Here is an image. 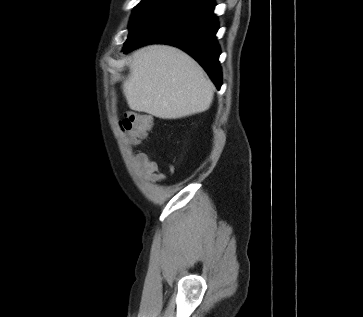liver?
I'll return each mask as SVG.
<instances>
[{"label":"liver","mask_w":363,"mask_h":317,"mask_svg":"<svg viewBox=\"0 0 363 317\" xmlns=\"http://www.w3.org/2000/svg\"><path fill=\"white\" fill-rule=\"evenodd\" d=\"M123 93L130 109L162 119L202 113L211 106L214 87L198 63L167 45H150L132 53Z\"/></svg>","instance_id":"liver-1"}]
</instances>
